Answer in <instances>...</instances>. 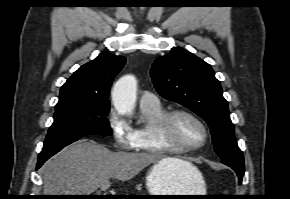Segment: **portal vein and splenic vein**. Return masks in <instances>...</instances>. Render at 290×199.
Instances as JSON below:
<instances>
[{"instance_id": "obj_1", "label": "portal vein and splenic vein", "mask_w": 290, "mask_h": 199, "mask_svg": "<svg viewBox=\"0 0 290 199\" xmlns=\"http://www.w3.org/2000/svg\"><path fill=\"white\" fill-rule=\"evenodd\" d=\"M109 186H110V182H109V181H106V182H104V183L100 186V190H101V191H105V190H107V189L109 188Z\"/></svg>"}]
</instances>
